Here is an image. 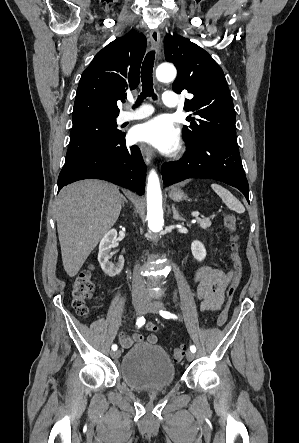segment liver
I'll list each match as a JSON object with an SVG mask.
<instances>
[{
    "mask_svg": "<svg viewBox=\"0 0 299 443\" xmlns=\"http://www.w3.org/2000/svg\"><path fill=\"white\" fill-rule=\"evenodd\" d=\"M122 194L113 184L82 180L64 187L56 201L62 262L74 277L103 235L116 223Z\"/></svg>",
    "mask_w": 299,
    "mask_h": 443,
    "instance_id": "obj_1",
    "label": "liver"
}]
</instances>
